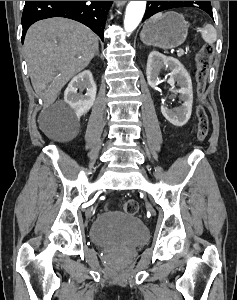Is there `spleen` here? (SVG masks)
<instances>
[{
  "instance_id": "obj_1",
  "label": "spleen",
  "mask_w": 237,
  "mask_h": 300,
  "mask_svg": "<svg viewBox=\"0 0 237 300\" xmlns=\"http://www.w3.org/2000/svg\"><path fill=\"white\" fill-rule=\"evenodd\" d=\"M163 13H157V15H154V17H151L150 21H157V19H161ZM202 39L206 41V43H209V45H212V43H215L217 33L213 27V25H204L203 29H199Z\"/></svg>"
}]
</instances>
